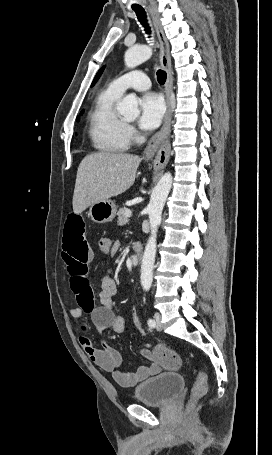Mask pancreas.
<instances>
[{"mask_svg": "<svg viewBox=\"0 0 272 455\" xmlns=\"http://www.w3.org/2000/svg\"><path fill=\"white\" fill-rule=\"evenodd\" d=\"M127 210H128L127 208H120L118 213H117V215H118L117 223L120 226H123V225H125L128 222V219L126 217V211Z\"/></svg>", "mask_w": 272, "mask_h": 455, "instance_id": "cf45deb5", "label": "pancreas"}]
</instances>
